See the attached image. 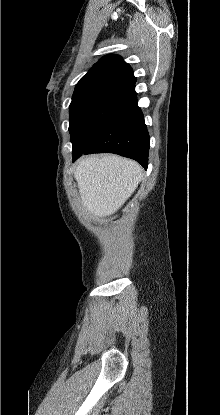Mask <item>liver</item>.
<instances>
[{"label": "liver", "instance_id": "6515ba94", "mask_svg": "<svg viewBox=\"0 0 220 415\" xmlns=\"http://www.w3.org/2000/svg\"><path fill=\"white\" fill-rule=\"evenodd\" d=\"M142 176L143 170L137 162L117 155L83 157L74 172L83 206L101 218L122 207Z\"/></svg>", "mask_w": 220, "mask_h": 415}]
</instances>
